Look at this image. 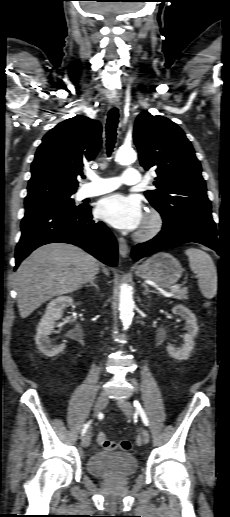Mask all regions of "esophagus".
<instances>
[{
	"instance_id": "1",
	"label": "esophagus",
	"mask_w": 230,
	"mask_h": 517,
	"mask_svg": "<svg viewBox=\"0 0 230 517\" xmlns=\"http://www.w3.org/2000/svg\"><path fill=\"white\" fill-rule=\"evenodd\" d=\"M109 103L111 107H117L120 104V100L118 96H113L109 98ZM118 244H119V253L120 255L125 258L127 257L129 253V246L127 242L123 238H118Z\"/></svg>"
}]
</instances>
